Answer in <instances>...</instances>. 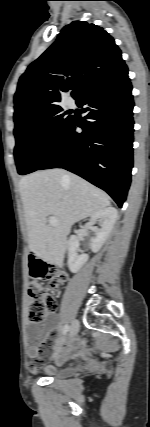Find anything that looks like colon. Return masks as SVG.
<instances>
[{"mask_svg":"<svg viewBox=\"0 0 150 427\" xmlns=\"http://www.w3.org/2000/svg\"><path fill=\"white\" fill-rule=\"evenodd\" d=\"M28 260L32 277L28 287V319L33 323H40L48 313L57 310L58 304L52 292L58 288L65 275L54 264L39 258L34 251H30ZM43 280L48 282L47 288L42 285Z\"/></svg>","mask_w":150,"mask_h":427,"instance_id":"obj_1","label":"colon"}]
</instances>
